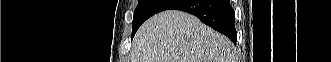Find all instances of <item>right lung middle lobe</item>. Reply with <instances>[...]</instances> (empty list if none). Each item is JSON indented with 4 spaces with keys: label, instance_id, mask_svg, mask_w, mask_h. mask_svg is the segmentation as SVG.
Returning a JSON list of instances; mask_svg holds the SVG:
<instances>
[{
    "label": "right lung middle lobe",
    "instance_id": "1",
    "mask_svg": "<svg viewBox=\"0 0 331 62\" xmlns=\"http://www.w3.org/2000/svg\"><path fill=\"white\" fill-rule=\"evenodd\" d=\"M171 1L172 0H139L134 11L132 37L145 20L161 12Z\"/></svg>",
    "mask_w": 331,
    "mask_h": 62
}]
</instances>
